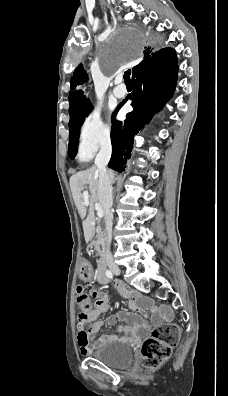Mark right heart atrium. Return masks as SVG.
<instances>
[{
	"instance_id": "1",
	"label": "right heart atrium",
	"mask_w": 228,
	"mask_h": 396,
	"mask_svg": "<svg viewBox=\"0 0 228 396\" xmlns=\"http://www.w3.org/2000/svg\"><path fill=\"white\" fill-rule=\"evenodd\" d=\"M110 141V128L103 122L99 112H89L79 128V156L83 159L90 158L97 150L109 146Z\"/></svg>"
}]
</instances>
